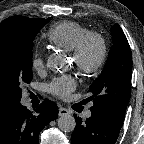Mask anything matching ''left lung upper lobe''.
<instances>
[{
	"instance_id": "5c2ea615",
	"label": "left lung upper lobe",
	"mask_w": 144,
	"mask_h": 144,
	"mask_svg": "<svg viewBox=\"0 0 144 144\" xmlns=\"http://www.w3.org/2000/svg\"><path fill=\"white\" fill-rule=\"evenodd\" d=\"M113 45L101 75L89 89L91 109L102 110L124 120L131 94L132 56L127 38L118 24L111 28Z\"/></svg>"
}]
</instances>
